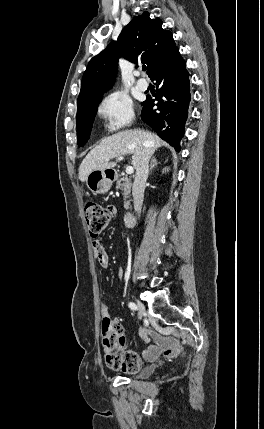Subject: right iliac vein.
Here are the masks:
<instances>
[{
    "instance_id": "63e3f726",
    "label": "right iliac vein",
    "mask_w": 264,
    "mask_h": 429,
    "mask_svg": "<svg viewBox=\"0 0 264 429\" xmlns=\"http://www.w3.org/2000/svg\"><path fill=\"white\" fill-rule=\"evenodd\" d=\"M141 302H139V301H137L136 302V304H137V308H138V314H137V317L142 321L144 318V309L142 308V305L140 304Z\"/></svg>"
}]
</instances>
